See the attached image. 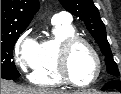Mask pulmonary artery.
Returning a JSON list of instances; mask_svg holds the SVG:
<instances>
[{"mask_svg":"<svg viewBox=\"0 0 121 94\" xmlns=\"http://www.w3.org/2000/svg\"><path fill=\"white\" fill-rule=\"evenodd\" d=\"M54 21L70 22V15L66 12H60L54 16Z\"/></svg>","mask_w":121,"mask_h":94,"instance_id":"obj_1","label":"pulmonary artery"}]
</instances>
